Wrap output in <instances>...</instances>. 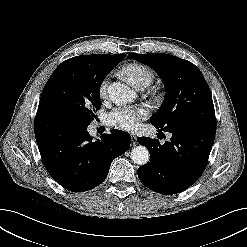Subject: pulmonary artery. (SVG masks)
<instances>
[{
  "label": "pulmonary artery",
  "instance_id": "obj_1",
  "mask_svg": "<svg viewBox=\"0 0 247 247\" xmlns=\"http://www.w3.org/2000/svg\"><path fill=\"white\" fill-rule=\"evenodd\" d=\"M146 86H148V84L142 83V84H140L137 88H138V89H143V88H145Z\"/></svg>",
  "mask_w": 247,
  "mask_h": 247
}]
</instances>
